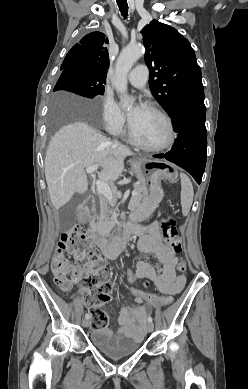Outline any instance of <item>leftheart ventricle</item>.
I'll use <instances>...</instances> for the list:
<instances>
[{
  "label": "left heart ventricle",
  "mask_w": 248,
  "mask_h": 389,
  "mask_svg": "<svg viewBox=\"0 0 248 389\" xmlns=\"http://www.w3.org/2000/svg\"><path fill=\"white\" fill-rule=\"evenodd\" d=\"M131 127L135 136L147 145H159L168 136L165 121L158 114L145 107L131 121Z\"/></svg>",
  "instance_id": "b2bd125f"
}]
</instances>
